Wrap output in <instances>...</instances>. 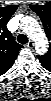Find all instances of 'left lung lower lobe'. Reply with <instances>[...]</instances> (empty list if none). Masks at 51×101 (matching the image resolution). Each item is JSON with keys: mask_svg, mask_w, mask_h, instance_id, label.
I'll list each match as a JSON object with an SVG mask.
<instances>
[{"mask_svg": "<svg viewBox=\"0 0 51 101\" xmlns=\"http://www.w3.org/2000/svg\"><path fill=\"white\" fill-rule=\"evenodd\" d=\"M38 58H39V61H40L41 64H42V66H43L44 68H46L47 70H50V68H51V63H50V64H46L39 56H38Z\"/></svg>", "mask_w": 51, "mask_h": 101, "instance_id": "1", "label": "left lung lower lobe"}]
</instances>
